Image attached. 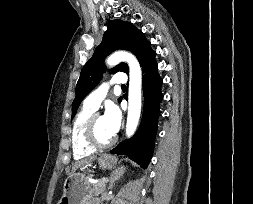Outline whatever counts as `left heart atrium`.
Segmentation results:
<instances>
[{"instance_id":"39dd6f15","label":"left heart atrium","mask_w":253,"mask_h":204,"mask_svg":"<svg viewBox=\"0 0 253 204\" xmlns=\"http://www.w3.org/2000/svg\"><path fill=\"white\" fill-rule=\"evenodd\" d=\"M104 120L110 132L116 134L122 121V114L117 105L110 103L106 106Z\"/></svg>"}]
</instances>
